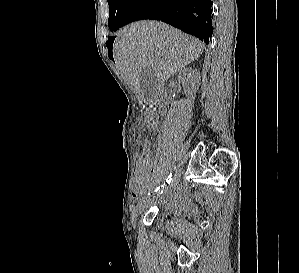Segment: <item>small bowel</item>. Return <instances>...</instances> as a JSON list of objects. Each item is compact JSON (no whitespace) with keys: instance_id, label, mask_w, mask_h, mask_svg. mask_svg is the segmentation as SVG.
<instances>
[{"instance_id":"1","label":"small bowel","mask_w":299,"mask_h":273,"mask_svg":"<svg viewBox=\"0 0 299 273\" xmlns=\"http://www.w3.org/2000/svg\"><path fill=\"white\" fill-rule=\"evenodd\" d=\"M158 114L153 108L146 111L145 122L149 130H156L158 127ZM154 172L152 167V151L142 150L139 159V170L136 174L133 188V197L145 193L151 185L150 173Z\"/></svg>"}]
</instances>
